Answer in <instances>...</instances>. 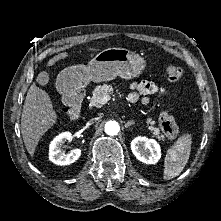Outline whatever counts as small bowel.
I'll use <instances>...</instances> for the list:
<instances>
[{
	"label": "small bowel",
	"mask_w": 221,
	"mask_h": 221,
	"mask_svg": "<svg viewBox=\"0 0 221 221\" xmlns=\"http://www.w3.org/2000/svg\"><path fill=\"white\" fill-rule=\"evenodd\" d=\"M135 92L131 93L129 100L131 102H142L143 104L148 103L147 96L149 95H159L163 96L166 94L165 89L159 87L152 81H141L133 84Z\"/></svg>",
	"instance_id": "small-bowel-1"
}]
</instances>
